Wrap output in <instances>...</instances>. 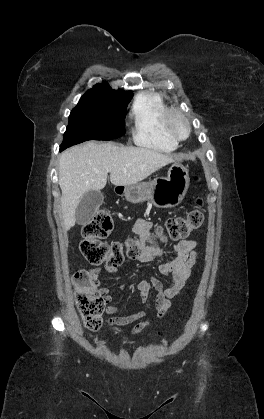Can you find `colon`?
I'll use <instances>...</instances> for the list:
<instances>
[{"label": "colon", "mask_w": 264, "mask_h": 419, "mask_svg": "<svg viewBox=\"0 0 264 419\" xmlns=\"http://www.w3.org/2000/svg\"><path fill=\"white\" fill-rule=\"evenodd\" d=\"M197 204V209L185 216L168 219L163 227H157L154 232H149L144 239L133 237L127 239L124 244L103 241L111 233L114 222L107 211H100L82 228L80 252L91 264H105L109 268H117L126 256L138 258L146 248V242L157 244L158 241L167 238L179 240L197 230L203 222V214L200 210L201 201L198 200ZM73 286L78 310L85 325L91 330L100 328L103 323L102 314L106 307V300L99 292L95 281L86 271H81L75 274Z\"/></svg>", "instance_id": "5ec220e1"}]
</instances>
